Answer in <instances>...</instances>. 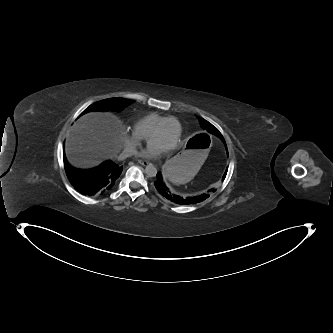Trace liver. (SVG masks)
Returning a JSON list of instances; mask_svg holds the SVG:
<instances>
[{
  "label": "liver",
  "instance_id": "liver-1",
  "mask_svg": "<svg viewBox=\"0 0 333 333\" xmlns=\"http://www.w3.org/2000/svg\"><path fill=\"white\" fill-rule=\"evenodd\" d=\"M125 138L124 126L115 115L88 113L80 117L67 133L66 155L72 165L91 168L116 157Z\"/></svg>",
  "mask_w": 333,
  "mask_h": 333
}]
</instances>
